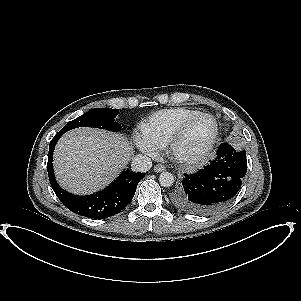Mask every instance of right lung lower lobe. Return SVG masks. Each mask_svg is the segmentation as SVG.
Returning <instances> with one entry per match:
<instances>
[{
    "label": "right lung lower lobe",
    "mask_w": 301,
    "mask_h": 301,
    "mask_svg": "<svg viewBox=\"0 0 301 301\" xmlns=\"http://www.w3.org/2000/svg\"><path fill=\"white\" fill-rule=\"evenodd\" d=\"M62 134L58 132L51 140L47 163L49 180L59 200L72 212L92 219H104L123 210L132 200L145 173L126 170L106 189L91 195L77 196L68 193L56 182L52 165L53 150Z\"/></svg>",
    "instance_id": "right-lung-lower-lobe-1"
}]
</instances>
